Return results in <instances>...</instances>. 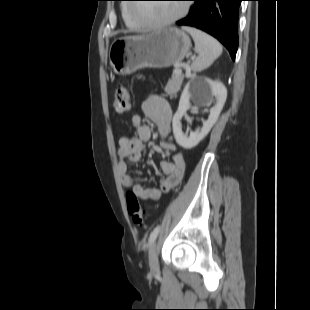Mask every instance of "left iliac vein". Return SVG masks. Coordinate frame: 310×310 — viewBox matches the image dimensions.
Returning <instances> with one entry per match:
<instances>
[{
  "mask_svg": "<svg viewBox=\"0 0 310 310\" xmlns=\"http://www.w3.org/2000/svg\"><path fill=\"white\" fill-rule=\"evenodd\" d=\"M149 267L151 272L157 273L159 271V261L157 255V244L153 242L149 249Z\"/></svg>",
  "mask_w": 310,
  "mask_h": 310,
  "instance_id": "1",
  "label": "left iliac vein"
}]
</instances>
